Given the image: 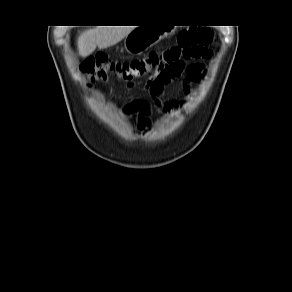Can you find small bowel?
<instances>
[{
  "label": "small bowel",
  "mask_w": 292,
  "mask_h": 292,
  "mask_svg": "<svg viewBox=\"0 0 292 292\" xmlns=\"http://www.w3.org/2000/svg\"><path fill=\"white\" fill-rule=\"evenodd\" d=\"M210 52L207 50V54L205 57H209ZM205 74V68L202 64H193L190 65L187 71V77L184 80L183 86L185 93L187 95H192L191 85L195 82L200 81ZM165 85L161 86L156 92H154L153 97L157 98L163 91ZM183 105L182 102L177 100H169L162 104V108L165 112H174L178 110Z\"/></svg>",
  "instance_id": "1"
}]
</instances>
